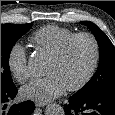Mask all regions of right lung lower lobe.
<instances>
[{"label":"right lung lower lobe","mask_w":115,"mask_h":115,"mask_svg":"<svg viewBox=\"0 0 115 115\" xmlns=\"http://www.w3.org/2000/svg\"><path fill=\"white\" fill-rule=\"evenodd\" d=\"M18 90L15 85L9 88H1V115H30L35 105L32 101H25L7 108V102L13 99Z\"/></svg>","instance_id":"1"}]
</instances>
